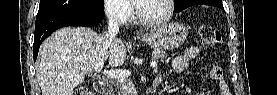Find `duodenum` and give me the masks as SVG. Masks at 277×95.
Instances as JSON below:
<instances>
[{"mask_svg":"<svg viewBox=\"0 0 277 95\" xmlns=\"http://www.w3.org/2000/svg\"><path fill=\"white\" fill-rule=\"evenodd\" d=\"M160 81H156L153 85L154 91L151 93L152 95H156V88L158 87ZM96 92L98 94L109 95L112 93V85L109 81H99L94 86Z\"/></svg>","mask_w":277,"mask_h":95,"instance_id":"duodenum-1","label":"duodenum"}]
</instances>
